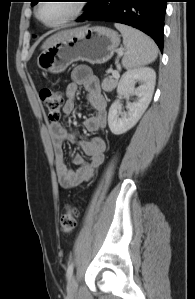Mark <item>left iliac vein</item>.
Here are the masks:
<instances>
[{"label":"left iliac vein","mask_w":195,"mask_h":299,"mask_svg":"<svg viewBox=\"0 0 195 299\" xmlns=\"http://www.w3.org/2000/svg\"><path fill=\"white\" fill-rule=\"evenodd\" d=\"M78 290V283L75 276H71L67 283V292L70 296H74Z\"/></svg>","instance_id":"4c4485c4"}]
</instances>
